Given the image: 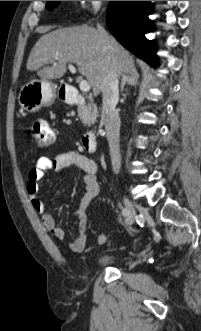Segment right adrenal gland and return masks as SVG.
I'll return each mask as SVG.
<instances>
[{
  "label": "right adrenal gland",
  "instance_id": "obj_1",
  "mask_svg": "<svg viewBox=\"0 0 201 331\" xmlns=\"http://www.w3.org/2000/svg\"><path fill=\"white\" fill-rule=\"evenodd\" d=\"M139 75L138 74H128L122 76L121 81V93L124 90L126 84L137 85L138 84Z\"/></svg>",
  "mask_w": 201,
  "mask_h": 331
}]
</instances>
